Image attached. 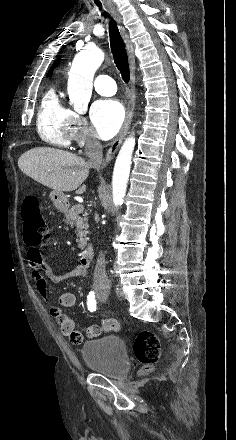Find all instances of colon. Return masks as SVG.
I'll use <instances>...</instances> for the list:
<instances>
[{
	"label": "colon",
	"mask_w": 236,
	"mask_h": 440,
	"mask_svg": "<svg viewBox=\"0 0 236 440\" xmlns=\"http://www.w3.org/2000/svg\"><path fill=\"white\" fill-rule=\"evenodd\" d=\"M22 220L24 241L29 246H36L49 236V227L41 213L38 199L27 196L23 201ZM133 353L143 365H153L160 355L158 338L148 330L138 333L133 344Z\"/></svg>",
	"instance_id": "colon-1"
}]
</instances>
